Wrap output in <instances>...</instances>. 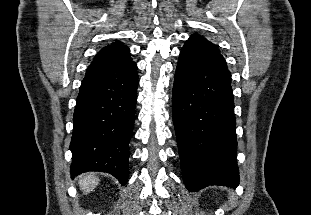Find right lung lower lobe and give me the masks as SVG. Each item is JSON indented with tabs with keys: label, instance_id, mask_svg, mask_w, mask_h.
I'll return each instance as SVG.
<instances>
[{
	"label": "right lung lower lobe",
	"instance_id": "right-lung-lower-lobe-1",
	"mask_svg": "<svg viewBox=\"0 0 311 215\" xmlns=\"http://www.w3.org/2000/svg\"><path fill=\"white\" fill-rule=\"evenodd\" d=\"M138 82L133 61L87 68L74 110L71 177L101 171L127 183Z\"/></svg>",
	"mask_w": 311,
	"mask_h": 215
}]
</instances>
